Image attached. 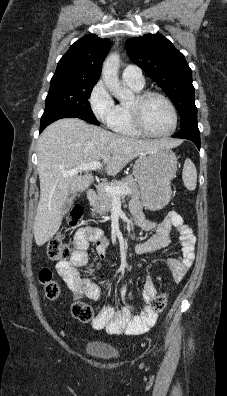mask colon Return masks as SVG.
I'll use <instances>...</instances> for the list:
<instances>
[{"label": "colon", "instance_id": "colon-1", "mask_svg": "<svg viewBox=\"0 0 227 396\" xmlns=\"http://www.w3.org/2000/svg\"><path fill=\"white\" fill-rule=\"evenodd\" d=\"M83 215V210L79 205H75L69 214L68 222L71 226L77 225ZM73 251V245L67 242L63 235L57 234L47 243V256L53 261L66 260ZM40 283L44 286L45 294L50 299H55L60 294V285L55 280L53 273L49 269H42L39 273ZM167 296L161 293L151 301V308L155 313H162L167 307ZM71 313L74 318L87 323L95 318V309L89 304L81 301L77 296L71 304Z\"/></svg>", "mask_w": 227, "mask_h": 396}]
</instances>
